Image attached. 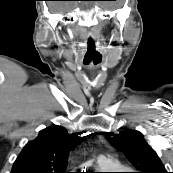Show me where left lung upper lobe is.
Segmentation results:
<instances>
[{
    "mask_svg": "<svg viewBox=\"0 0 173 173\" xmlns=\"http://www.w3.org/2000/svg\"><path fill=\"white\" fill-rule=\"evenodd\" d=\"M112 143L140 170L139 173H168L139 131L128 130L117 134L112 138Z\"/></svg>",
    "mask_w": 173,
    "mask_h": 173,
    "instance_id": "obj_1",
    "label": "left lung upper lobe"
}]
</instances>
